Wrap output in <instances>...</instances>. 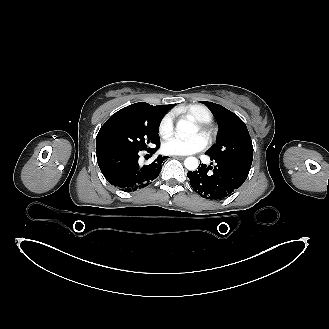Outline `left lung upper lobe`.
<instances>
[{
    "label": "left lung upper lobe",
    "instance_id": "1",
    "mask_svg": "<svg viewBox=\"0 0 329 329\" xmlns=\"http://www.w3.org/2000/svg\"><path fill=\"white\" fill-rule=\"evenodd\" d=\"M219 122L217 143L207 154L210 159H221L251 168L253 159L252 140L245 123L233 112L219 104L202 101Z\"/></svg>",
    "mask_w": 329,
    "mask_h": 329
}]
</instances>
